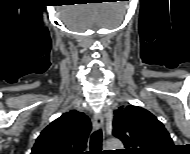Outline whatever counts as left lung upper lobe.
<instances>
[{
  "instance_id": "obj_1",
  "label": "left lung upper lobe",
  "mask_w": 190,
  "mask_h": 154,
  "mask_svg": "<svg viewBox=\"0 0 190 154\" xmlns=\"http://www.w3.org/2000/svg\"><path fill=\"white\" fill-rule=\"evenodd\" d=\"M125 146V154H157L173 147L164 125L139 106H122L114 111L113 132Z\"/></svg>"
}]
</instances>
